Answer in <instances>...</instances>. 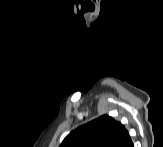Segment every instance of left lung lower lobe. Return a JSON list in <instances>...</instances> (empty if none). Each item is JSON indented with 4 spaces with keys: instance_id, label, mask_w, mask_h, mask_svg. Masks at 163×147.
I'll return each mask as SVG.
<instances>
[{
    "instance_id": "obj_1",
    "label": "left lung lower lobe",
    "mask_w": 163,
    "mask_h": 147,
    "mask_svg": "<svg viewBox=\"0 0 163 147\" xmlns=\"http://www.w3.org/2000/svg\"><path fill=\"white\" fill-rule=\"evenodd\" d=\"M116 147H134L128 131L126 130L116 144Z\"/></svg>"
}]
</instances>
